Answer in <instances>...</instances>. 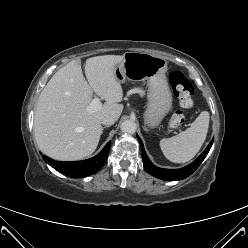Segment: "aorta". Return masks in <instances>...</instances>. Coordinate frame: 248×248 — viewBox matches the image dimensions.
<instances>
[{"mask_svg":"<svg viewBox=\"0 0 248 248\" xmlns=\"http://www.w3.org/2000/svg\"><path fill=\"white\" fill-rule=\"evenodd\" d=\"M120 129L124 133L132 134L136 131L137 125L132 120H126L121 124Z\"/></svg>","mask_w":248,"mask_h":248,"instance_id":"aorta-1","label":"aorta"}]
</instances>
